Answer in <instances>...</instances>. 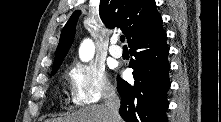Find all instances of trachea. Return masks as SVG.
<instances>
[{
    "label": "trachea",
    "instance_id": "3493384b",
    "mask_svg": "<svg viewBox=\"0 0 221 122\" xmlns=\"http://www.w3.org/2000/svg\"><path fill=\"white\" fill-rule=\"evenodd\" d=\"M120 41H121L122 43H124L125 37H124V36H121V37H120Z\"/></svg>",
    "mask_w": 221,
    "mask_h": 122
}]
</instances>
